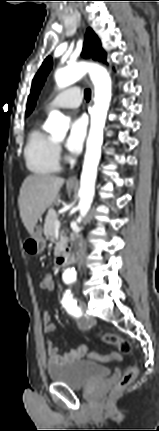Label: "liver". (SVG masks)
Masks as SVG:
<instances>
[{
  "instance_id": "1",
  "label": "liver",
  "mask_w": 159,
  "mask_h": 431,
  "mask_svg": "<svg viewBox=\"0 0 159 431\" xmlns=\"http://www.w3.org/2000/svg\"><path fill=\"white\" fill-rule=\"evenodd\" d=\"M63 184V178L48 174H33L25 178L20 188L18 205L20 217L30 235L46 209L58 204Z\"/></svg>"
}]
</instances>
